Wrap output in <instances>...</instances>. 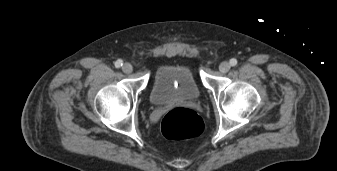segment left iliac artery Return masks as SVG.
<instances>
[{
  "instance_id": "44dca946",
  "label": "left iliac artery",
  "mask_w": 337,
  "mask_h": 171,
  "mask_svg": "<svg viewBox=\"0 0 337 171\" xmlns=\"http://www.w3.org/2000/svg\"><path fill=\"white\" fill-rule=\"evenodd\" d=\"M230 65H231V66H236V65H237V60H236L235 58H232V59L230 60Z\"/></svg>"
}]
</instances>
